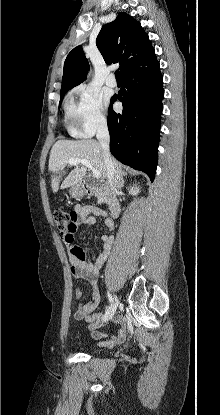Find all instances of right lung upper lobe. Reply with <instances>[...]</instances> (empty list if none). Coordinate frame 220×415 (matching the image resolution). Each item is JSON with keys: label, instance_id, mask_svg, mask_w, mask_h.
<instances>
[{"label": "right lung upper lobe", "instance_id": "cb5924a9", "mask_svg": "<svg viewBox=\"0 0 220 415\" xmlns=\"http://www.w3.org/2000/svg\"><path fill=\"white\" fill-rule=\"evenodd\" d=\"M96 45L107 64L120 63L123 76L156 59L154 48L140 23L124 12L102 27ZM88 70L89 63L81 46L75 47L64 63L60 93L68 92L83 82Z\"/></svg>", "mask_w": 220, "mask_h": 415}]
</instances>
